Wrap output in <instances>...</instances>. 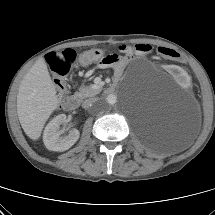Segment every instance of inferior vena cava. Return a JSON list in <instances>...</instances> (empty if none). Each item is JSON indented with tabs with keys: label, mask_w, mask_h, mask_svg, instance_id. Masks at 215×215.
Wrapping results in <instances>:
<instances>
[{
	"label": "inferior vena cava",
	"mask_w": 215,
	"mask_h": 215,
	"mask_svg": "<svg viewBox=\"0 0 215 215\" xmlns=\"http://www.w3.org/2000/svg\"><path fill=\"white\" fill-rule=\"evenodd\" d=\"M92 104L96 107L99 105V102L97 99H87L83 102L82 106L83 108H89V106Z\"/></svg>",
	"instance_id": "602c4592"
}]
</instances>
